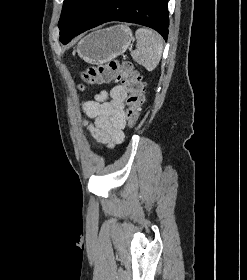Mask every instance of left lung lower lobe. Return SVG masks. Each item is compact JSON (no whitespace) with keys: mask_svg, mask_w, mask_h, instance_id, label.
<instances>
[{"mask_svg":"<svg viewBox=\"0 0 247 280\" xmlns=\"http://www.w3.org/2000/svg\"><path fill=\"white\" fill-rule=\"evenodd\" d=\"M168 0H102L72 33L61 42L68 43L74 36L109 21L141 24L158 31L165 40L168 37Z\"/></svg>","mask_w":247,"mask_h":280,"instance_id":"0a47b994","label":"left lung lower lobe"}]
</instances>
